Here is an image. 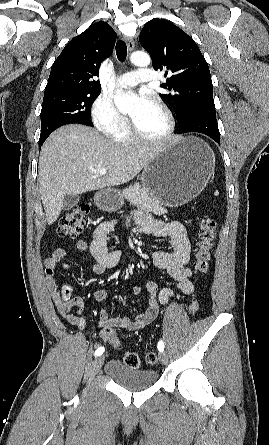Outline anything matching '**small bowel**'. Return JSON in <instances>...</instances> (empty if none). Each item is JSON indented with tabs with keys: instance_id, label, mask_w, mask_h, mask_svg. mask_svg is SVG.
<instances>
[{
	"instance_id": "obj_1",
	"label": "small bowel",
	"mask_w": 269,
	"mask_h": 445,
	"mask_svg": "<svg viewBox=\"0 0 269 445\" xmlns=\"http://www.w3.org/2000/svg\"><path fill=\"white\" fill-rule=\"evenodd\" d=\"M134 220L138 227L146 234H152L158 238H169L174 245L172 252L159 251L153 255L154 264L163 269L174 281L176 287L184 295H190L194 291L192 282V271L187 267L190 258V243L184 226L177 221L163 222L143 212L134 213ZM113 223L105 222L100 224L94 231L93 240L90 245L84 240L76 242V248L81 251L89 250L95 260L93 271L96 274H102L109 269L115 268L121 258L120 250L110 251L107 247L108 236L113 230ZM67 254L65 247H60L46 259L45 265L49 271L46 278L47 288L52 296L60 315L71 325L84 329L86 327V319L81 315L84 308L82 298L76 297L69 299V290L60 291L52 274L59 264L69 271L70 267L62 260ZM148 294L147 308L144 312L138 314L134 319L128 317L111 318L106 307L99 312V326L101 328V337L104 341L105 333L114 328L135 331L144 328L150 324L158 315L160 308L165 305L173 296L174 291L169 288L159 289L157 283L150 281L144 286ZM142 286H133V293L139 295ZM95 301L105 304L108 298V292L104 289L95 290L92 294Z\"/></svg>"
}]
</instances>
